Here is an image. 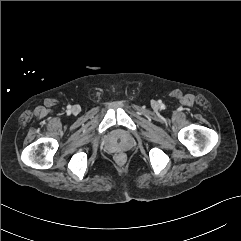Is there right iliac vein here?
Segmentation results:
<instances>
[{
	"mask_svg": "<svg viewBox=\"0 0 241 241\" xmlns=\"http://www.w3.org/2000/svg\"><path fill=\"white\" fill-rule=\"evenodd\" d=\"M72 110H73L74 113H78L79 112L78 106H74Z\"/></svg>",
	"mask_w": 241,
	"mask_h": 241,
	"instance_id": "right-iliac-vein-1",
	"label": "right iliac vein"
}]
</instances>
